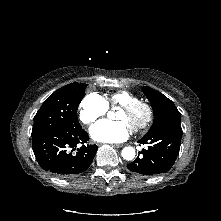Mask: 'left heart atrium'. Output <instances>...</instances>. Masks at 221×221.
Instances as JSON below:
<instances>
[{"instance_id": "1", "label": "left heart atrium", "mask_w": 221, "mask_h": 221, "mask_svg": "<svg viewBox=\"0 0 221 221\" xmlns=\"http://www.w3.org/2000/svg\"><path fill=\"white\" fill-rule=\"evenodd\" d=\"M90 135L98 142L117 143L129 137L130 127L123 120H102L91 127Z\"/></svg>"}]
</instances>
